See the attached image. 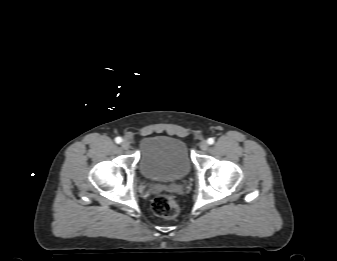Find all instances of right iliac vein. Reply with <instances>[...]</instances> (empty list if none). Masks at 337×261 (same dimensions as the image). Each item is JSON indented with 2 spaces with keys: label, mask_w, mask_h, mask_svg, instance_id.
Instances as JSON below:
<instances>
[{
  "label": "right iliac vein",
  "mask_w": 337,
  "mask_h": 261,
  "mask_svg": "<svg viewBox=\"0 0 337 261\" xmlns=\"http://www.w3.org/2000/svg\"><path fill=\"white\" fill-rule=\"evenodd\" d=\"M123 149H128L130 147V142L128 140H123L121 143Z\"/></svg>",
  "instance_id": "obj_1"
}]
</instances>
